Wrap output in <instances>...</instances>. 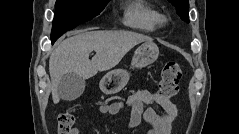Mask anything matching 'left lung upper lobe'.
Listing matches in <instances>:
<instances>
[{
  "instance_id": "obj_1",
  "label": "left lung upper lobe",
  "mask_w": 239,
  "mask_h": 134,
  "mask_svg": "<svg viewBox=\"0 0 239 134\" xmlns=\"http://www.w3.org/2000/svg\"><path fill=\"white\" fill-rule=\"evenodd\" d=\"M170 3H172L177 8V14L180 16V18L189 23V15H188V9H189V1L188 0H168Z\"/></svg>"
}]
</instances>
